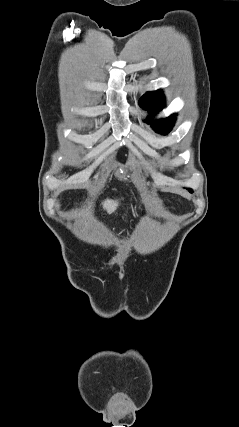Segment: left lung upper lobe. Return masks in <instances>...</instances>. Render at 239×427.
Segmentation results:
<instances>
[{
  "label": "left lung upper lobe",
  "mask_w": 239,
  "mask_h": 427,
  "mask_svg": "<svg viewBox=\"0 0 239 427\" xmlns=\"http://www.w3.org/2000/svg\"><path fill=\"white\" fill-rule=\"evenodd\" d=\"M139 105L143 109L148 110L151 114H155L165 106V98L160 91L147 92L139 99ZM174 118L175 115H172L166 119H161L154 123H152L151 120H148L147 122L151 123V127L156 132L166 134L172 129ZM190 192L192 191L190 190Z\"/></svg>",
  "instance_id": "left-lung-upper-lobe-1"
}]
</instances>
